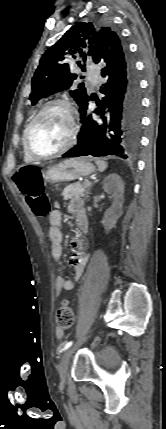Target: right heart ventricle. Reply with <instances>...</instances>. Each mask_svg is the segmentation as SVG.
I'll return each mask as SVG.
<instances>
[{"instance_id":"e07e8e85","label":"right heart ventricle","mask_w":166,"mask_h":429,"mask_svg":"<svg viewBox=\"0 0 166 429\" xmlns=\"http://www.w3.org/2000/svg\"><path fill=\"white\" fill-rule=\"evenodd\" d=\"M26 128H27V127H26ZM26 128L24 129L23 138H24V134H25ZM22 143H23V141H22ZM23 150H24V160H25L26 162H34L35 160H34V159H32V158L27 154V152H26V151H25V149H24V146H23Z\"/></svg>"}]
</instances>
